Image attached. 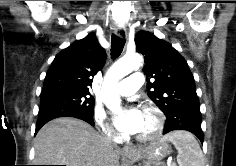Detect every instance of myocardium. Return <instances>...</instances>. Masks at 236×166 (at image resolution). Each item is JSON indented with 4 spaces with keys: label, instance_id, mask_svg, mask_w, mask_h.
Returning <instances> with one entry per match:
<instances>
[{
    "label": "myocardium",
    "instance_id": "1",
    "mask_svg": "<svg viewBox=\"0 0 236 166\" xmlns=\"http://www.w3.org/2000/svg\"><path fill=\"white\" fill-rule=\"evenodd\" d=\"M143 112L151 113L155 118L156 124L151 132L144 135H137L136 139L140 142H150L161 135L164 128L165 117L163 112L157 106L150 103L143 106Z\"/></svg>",
    "mask_w": 236,
    "mask_h": 166
}]
</instances>
